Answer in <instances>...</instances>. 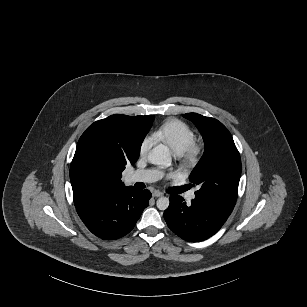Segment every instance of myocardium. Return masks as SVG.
Wrapping results in <instances>:
<instances>
[{
  "label": "myocardium",
  "instance_id": "obj_1",
  "mask_svg": "<svg viewBox=\"0 0 307 307\" xmlns=\"http://www.w3.org/2000/svg\"><path fill=\"white\" fill-rule=\"evenodd\" d=\"M200 153L201 147L197 144H192L185 152L179 155V158L189 163H194L198 160Z\"/></svg>",
  "mask_w": 307,
  "mask_h": 307
}]
</instances>
